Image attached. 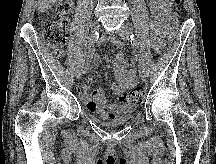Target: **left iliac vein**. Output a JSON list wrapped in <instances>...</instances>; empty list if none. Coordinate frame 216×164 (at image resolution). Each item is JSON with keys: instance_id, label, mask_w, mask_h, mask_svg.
I'll list each match as a JSON object with an SVG mask.
<instances>
[{"instance_id": "left-iliac-vein-1", "label": "left iliac vein", "mask_w": 216, "mask_h": 164, "mask_svg": "<svg viewBox=\"0 0 216 164\" xmlns=\"http://www.w3.org/2000/svg\"><path fill=\"white\" fill-rule=\"evenodd\" d=\"M118 33L122 36L123 39H129L130 35L132 34V29L127 25H123ZM140 77L142 80H146L147 78L146 67L144 70H140Z\"/></svg>"}]
</instances>
